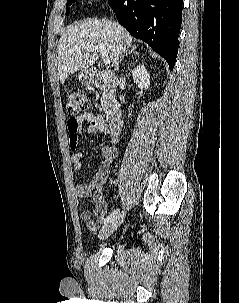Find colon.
<instances>
[{"mask_svg": "<svg viewBox=\"0 0 239 303\" xmlns=\"http://www.w3.org/2000/svg\"><path fill=\"white\" fill-rule=\"evenodd\" d=\"M66 108L69 114L85 113L89 108V100L78 88H70L66 92ZM71 130H76V124H71Z\"/></svg>", "mask_w": 239, "mask_h": 303, "instance_id": "obj_1", "label": "colon"}]
</instances>
